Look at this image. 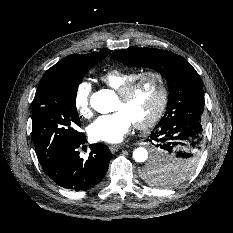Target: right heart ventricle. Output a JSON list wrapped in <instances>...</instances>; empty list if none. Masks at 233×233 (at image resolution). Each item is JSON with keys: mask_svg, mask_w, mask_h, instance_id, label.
<instances>
[{"mask_svg": "<svg viewBox=\"0 0 233 233\" xmlns=\"http://www.w3.org/2000/svg\"><path fill=\"white\" fill-rule=\"evenodd\" d=\"M137 72L124 68H112L102 73L99 80L113 90H118L126 81L131 79Z\"/></svg>", "mask_w": 233, "mask_h": 233, "instance_id": "obj_1", "label": "right heart ventricle"}]
</instances>
